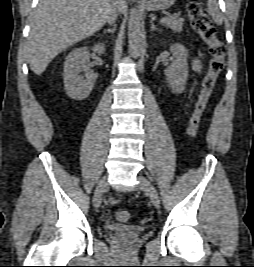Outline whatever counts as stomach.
I'll return each instance as SVG.
<instances>
[{
    "label": "stomach",
    "mask_w": 254,
    "mask_h": 267,
    "mask_svg": "<svg viewBox=\"0 0 254 267\" xmlns=\"http://www.w3.org/2000/svg\"><path fill=\"white\" fill-rule=\"evenodd\" d=\"M176 0H145V7L149 11L169 9Z\"/></svg>",
    "instance_id": "stomach-1"
}]
</instances>
